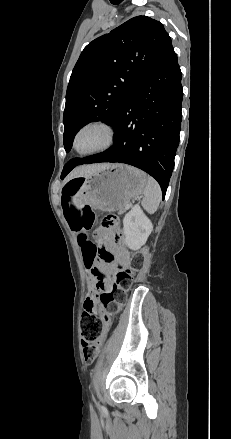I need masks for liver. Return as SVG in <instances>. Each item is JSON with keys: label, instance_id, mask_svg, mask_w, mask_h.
<instances>
[{"label": "liver", "instance_id": "liver-1", "mask_svg": "<svg viewBox=\"0 0 231 439\" xmlns=\"http://www.w3.org/2000/svg\"><path fill=\"white\" fill-rule=\"evenodd\" d=\"M108 165L109 164H92V165L77 167L68 174V176L66 177V182L76 177H87L107 167Z\"/></svg>", "mask_w": 231, "mask_h": 439}]
</instances>
